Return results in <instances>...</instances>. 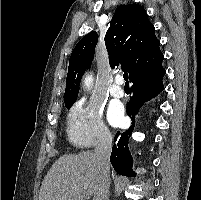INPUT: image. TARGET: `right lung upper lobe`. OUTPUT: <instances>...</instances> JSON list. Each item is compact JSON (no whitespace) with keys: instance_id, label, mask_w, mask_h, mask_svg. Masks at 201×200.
Masks as SVG:
<instances>
[{"instance_id":"obj_1","label":"right lung upper lobe","mask_w":201,"mask_h":200,"mask_svg":"<svg viewBox=\"0 0 201 200\" xmlns=\"http://www.w3.org/2000/svg\"><path fill=\"white\" fill-rule=\"evenodd\" d=\"M98 42L95 31L84 36L75 46L66 78L64 101L77 99L81 77L94 57ZM111 66L121 65L129 72L130 81L160 66L163 54L154 26L145 9L138 4L121 5L115 11L105 36Z\"/></svg>"}]
</instances>
